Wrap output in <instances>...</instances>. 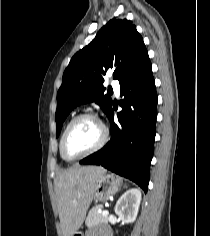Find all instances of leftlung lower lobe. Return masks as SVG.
Here are the masks:
<instances>
[{"instance_id": "0a47b994", "label": "left lung lower lobe", "mask_w": 210, "mask_h": 236, "mask_svg": "<svg viewBox=\"0 0 210 236\" xmlns=\"http://www.w3.org/2000/svg\"><path fill=\"white\" fill-rule=\"evenodd\" d=\"M120 89L124 99L119 102L122 111L117 114L118 123H114L112 108L107 115L111 122L109 142L80 163L101 165L134 181L146 193L157 118V93L150 60Z\"/></svg>"}]
</instances>
